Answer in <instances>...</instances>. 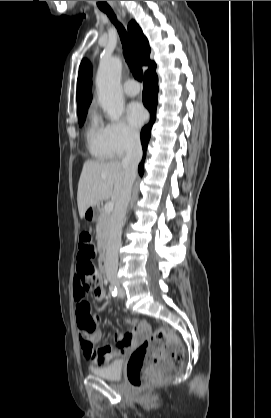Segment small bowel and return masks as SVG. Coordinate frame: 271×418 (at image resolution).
Here are the masks:
<instances>
[{"instance_id":"small-bowel-1","label":"small bowel","mask_w":271,"mask_h":418,"mask_svg":"<svg viewBox=\"0 0 271 418\" xmlns=\"http://www.w3.org/2000/svg\"><path fill=\"white\" fill-rule=\"evenodd\" d=\"M90 285L94 288L95 301L103 302L106 294L99 269L94 268V264L90 262H76V273L73 278V299L76 305L73 306V313L78 314L79 338L85 357L93 365L102 366L126 354L129 348L137 343L145 324L135 318H126L125 323L134 327L133 332L115 333L116 347L109 345L96 347L101 339V333L96 331L99 320L96 319L95 314H92L93 301L87 296Z\"/></svg>"}]
</instances>
